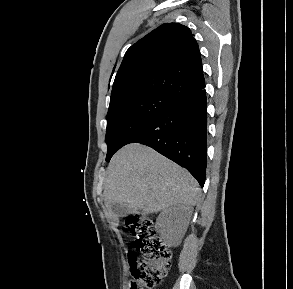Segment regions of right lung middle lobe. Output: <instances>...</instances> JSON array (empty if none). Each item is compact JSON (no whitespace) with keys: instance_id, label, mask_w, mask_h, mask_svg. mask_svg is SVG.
Instances as JSON below:
<instances>
[{"instance_id":"right-lung-middle-lobe-1","label":"right lung middle lobe","mask_w":293,"mask_h":289,"mask_svg":"<svg viewBox=\"0 0 293 289\" xmlns=\"http://www.w3.org/2000/svg\"><path fill=\"white\" fill-rule=\"evenodd\" d=\"M173 102L160 95L133 96L109 106L107 113L106 161L132 136L171 106Z\"/></svg>"}]
</instances>
